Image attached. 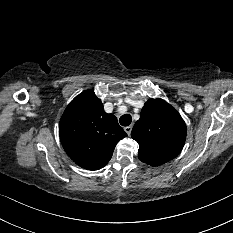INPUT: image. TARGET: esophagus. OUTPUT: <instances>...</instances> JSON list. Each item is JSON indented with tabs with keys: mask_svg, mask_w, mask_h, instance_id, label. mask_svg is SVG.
I'll return each instance as SVG.
<instances>
[{
	"mask_svg": "<svg viewBox=\"0 0 233 233\" xmlns=\"http://www.w3.org/2000/svg\"><path fill=\"white\" fill-rule=\"evenodd\" d=\"M125 132L130 135L131 134V130H132V126H127L124 128Z\"/></svg>",
	"mask_w": 233,
	"mask_h": 233,
	"instance_id": "1",
	"label": "esophagus"
}]
</instances>
